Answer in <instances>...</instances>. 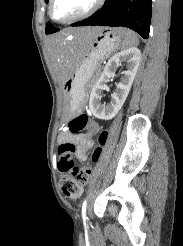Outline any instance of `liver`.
Here are the masks:
<instances>
[{
	"mask_svg": "<svg viewBox=\"0 0 183 246\" xmlns=\"http://www.w3.org/2000/svg\"><path fill=\"white\" fill-rule=\"evenodd\" d=\"M101 27H85L65 29L48 40V51L58 75L60 83L64 84L72 75L80 47H69L64 43L65 38L74 35L79 43L92 40Z\"/></svg>",
	"mask_w": 183,
	"mask_h": 246,
	"instance_id": "liver-1",
	"label": "liver"
}]
</instances>
